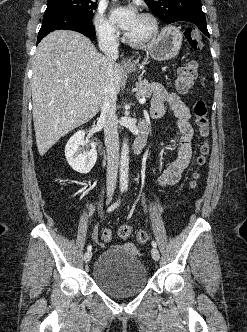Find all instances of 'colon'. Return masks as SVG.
<instances>
[{
	"label": "colon",
	"mask_w": 247,
	"mask_h": 332,
	"mask_svg": "<svg viewBox=\"0 0 247 332\" xmlns=\"http://www.w3.org/2000/svg\"><path fill=\"white\" fill-rule=\"evenodd\" d=\"M186 39L190 46L199 50L202 46L203 36L201 32L195 28L187 29L185 32ZM198 76V65L194 61H190L182 65L178 70V75L175 81L176 89L179 93H187L194 85V82ZM194 121L199 136L202 139L199 148V154L196 159L197 170L193 175L191 182L192 187L197 186V180L199 178V170L205 165L207 155L209 153V120H208V108L204 100H197L193 107ZM118 235L122 239H129L134 236L138 243H145L149 239V234L144 230L133 231V229L127 225H123L118 230ZM103 240L110 242L112 239V232L109 229H105L102 233Z\"/></svg>",
	"instance_id": "5ec220e1"
}]
</instances>
